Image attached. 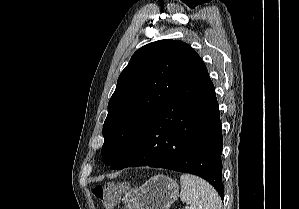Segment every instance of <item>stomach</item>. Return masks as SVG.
<instances>
[{"label": "stomach", "instance_id": "1", "mask_svg": "<svg viewBox=\"0 0 299 209\" xmlns=\"http://www.w3.org/2000/svg\"><path fill=\"white\" fill-rule=\"evenodd\" d=\"M178 196L179 186L175 180L155 175L126 194L123 201L127 209H169Z\"/></svg>", "mask_w": 299, "mask_h": 209}]
</instances>
